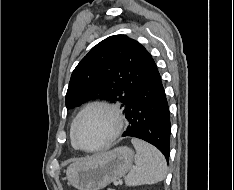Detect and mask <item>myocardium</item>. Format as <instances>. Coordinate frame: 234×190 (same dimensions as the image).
I'll use <instances>...</instances> for the list:
<instances>
[{
    "instance_id": "myocardium-1",
    "label": "myocardium",
    "mask_w": 234,
    "mask_h": 190,
    "mask_svg": "<svg viewBox=\"0 0 234 190\" xmlns=\"http://www.w3.org/2000/svg\"><path fill=\"white\" fill-rule=\"evenodd\" d=\"M93 109H102L104 111H106L112 118L113 122H114V128L112 133L110 134V136L103 141L102 143L91 147V148H86L82 145H80V143L77 140V128L79 125V122L81 120V118L90 110ZM124 126V120H123V116L121 114V112L119 111V109L117 107H115L114 105L105 102V101H93L88 103L87 105H85L81 111L78 113V115L76 116L73 124H72V128H71V139H72V143L74 144L75 147H77L78 149L85 151V152H95L98 150H101L105 147H107L108 145H110L122 132Z\"/></svg>"
}]
</instances>
